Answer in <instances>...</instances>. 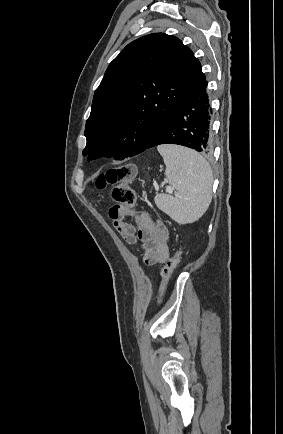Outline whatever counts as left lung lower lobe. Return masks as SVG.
Returning a JSON list of instances; mask_svg holds the SVG:
<instances>
[{
    "label": "left lung lower lobe",
    "mask_w": 283,
    "mask_h": 434,
    "mask_svg": "<svg viewBox=\"0 0 283 434\" xmlns=\"http://www.w3.org/2000/svg\"><path fill=\"white\" fill-rule=\"evenodd\" d=\"M211 114L205 78L177 102L146 149L161 144H178L209 154L212 150Z\"/></svg>",
    "instance_id": "obj_1"
}]
</instances>
